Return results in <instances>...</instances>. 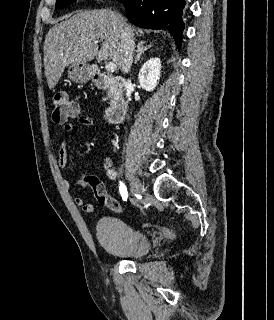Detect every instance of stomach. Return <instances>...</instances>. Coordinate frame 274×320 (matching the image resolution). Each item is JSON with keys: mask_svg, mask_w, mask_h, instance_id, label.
<instances>
[{"mask_svg": "<svg viewBox=\"0 0 274 320\" xmlns=\"http://www.w3.org/2000/svg\"><path fill=\"white\" fill-rule=\"evenodd\" d=\"M93 74L94 68L90 64H71L70 66L69 78L77 84H85L91 80Z\"/></svg>", "mask_w": 274, "mask_h": 320, "instance_id": "0dacf381", "label": "stomach"}]
</instances>
